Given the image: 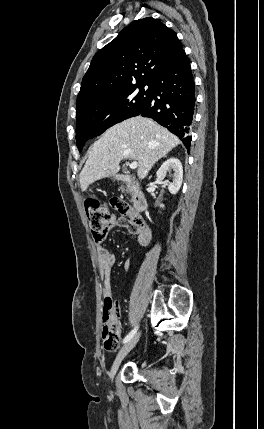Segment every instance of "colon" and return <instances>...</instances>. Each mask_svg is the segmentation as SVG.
I'll return each mask as SVG.
<instances>
[{
    "instance_id": "1",
    "label": "colon",
    "mask_w": 264,
    "mask_h": 429,
    "mask_svg": "<svg viewBox=\"0 0 264 429\" xmlns=\"http://www.w3.org/2000/svg\"><path fill=\"white\" fill-rule=\"evenodd\" d=\"M85 212L94 238H101L112 217L110 207L125 216L131 215L130 207L121 200H112L110 207L95 197L85 200ZM102 339L106 350L115 351L120 343V323L118 306L111 298L104 300L102 316Z\"/></svg>"
}]
</instances>
